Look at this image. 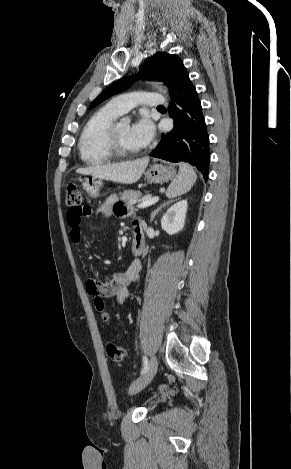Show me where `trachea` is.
<instances>
[{"label":"trachea","instance_id":"1","mask_svg":"<svg viewBox=\"0 0 291 469\" xmlns=\"http://www.w3.org/2000/svg\"><path fill=\"white\" fill-rule=\"evenodd\" d=\"M158 108H163V106H158Z\"/></svg>","mask_w":291,"mask_h":469}]
</instances>
